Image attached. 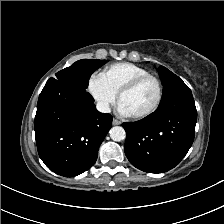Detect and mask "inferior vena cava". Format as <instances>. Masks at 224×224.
<instances>
[{
	"label": "inferior vena cava",
	"instance_id": "1",
	"mask_svg": "<svg viewBox=\"0 0 224 224\" xmlns=\"http://www.w3.org/2000/svg\"><path fill=\"white\" fill-rule=\"evenodd\" d=\"M96 108L99 112H102V113H109L111 111L109 104L103 101L98 102L96 104Z\"/></svg>",
	"mask_w": 224,
	"mask_h": 224
}]
</instances>
